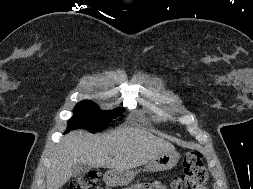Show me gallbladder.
Listing matches in <instances>:
<instances>
[{"label":"gallbladder","instance_id":"bac80fb5","mask_svg":"<svg viewBox=\"0 0 253 189\" xmlns=\"http://www.w3.org/2000/svg\"><path fill=\"white\" fill-rule=\"evenodd\" d=\"M91 169V166L84 163H77L73 165L72 175L73 176H80Z\"/></svg>","mask_w":253,"mask_h":189}]
</instances>
